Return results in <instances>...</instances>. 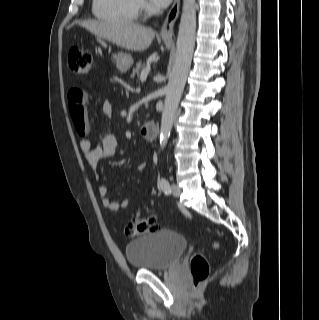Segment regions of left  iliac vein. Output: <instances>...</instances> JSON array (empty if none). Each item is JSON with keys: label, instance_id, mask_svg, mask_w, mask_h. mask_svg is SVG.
Masks as SVG:
<instances>
[{"label": "left iliac vein", "instance_id": "4c4485c4", "mask_svg": "<svg viewBox=\"0 0 319 320\" xmlns=\"http://www.w3.org/2000/svg\"><path fill=\"white\" fill-rule=\"evenodd\" d=\"M171 189L174 196L178 197L181 194V188L177 184H173Z\"/></svg>", "mask_w": 319, "mask_h": 320}]
</instances>
